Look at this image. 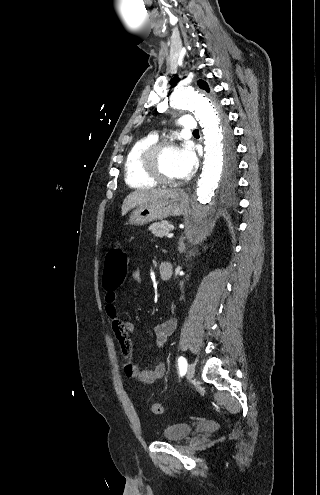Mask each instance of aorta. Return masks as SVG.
Segmentation results:
<instances>
[{
  "mask_svg": "<svg viewBox=\"0 0 320 495\" xmlns=\"http://www.w3.org/2000/svg\"><path fill=\"white\" fill-rule=\"evenodd\" d=\"M174 109L192 111L204 134V162L186 227L193 233L211 213L213 195L223 166V126L218 104L199 89H178L170 99ZM188 239V237H187Z\"/></svg>",
  "mask_w": 320,
  "mask_h": 495,
  "instance_id": "aorta-1",
  "label": "aorta"
}]
</instances>
